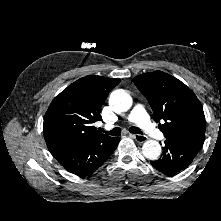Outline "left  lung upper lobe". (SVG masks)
Instances as JSON below:
<instances>
[{
  "mask_svg": "<svg viewBox=\"0 0 221 221\" xmlns=\"http://www.w3.org/2000/svg\"><path fill=\"white\" fill-rule=\"evenodd\" d=\"M139 91L148 100L166 139L205 136L203 108L194 92L177 78L154 71L134 78Z\"/></svg>",
  "mask_w": 221,
  "mask_h": 221,
  "instance_id": "5c2ea615",
  "label": "left lung upper lobe"
}]
</instances>
